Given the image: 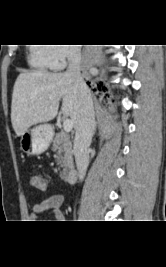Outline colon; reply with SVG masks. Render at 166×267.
Returning <instances> with one entry per match:
<instances>
[{"mask_svg": "<svg viewBox=\"0 0 166 267\" xmlns=\"http://www.w3.org/2000/svg\"><path fill=\"white\" fill-rule=\"evenodd\" d=\"M25 180H30L33 188L44 189L46 188V181L43 177H39V175H25Z\"/></svg>", "mask_w": 166, "mask_h": 267, "instance_id": "5ec220e1", "label": "colon"}]
</instances>
